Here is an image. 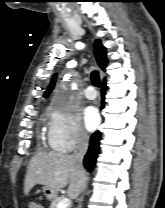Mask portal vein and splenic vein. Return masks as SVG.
I'll list each match as a JSON object with an SVG mask.
<instances>
[{"label":"portal vein and splenic vein","mask_w":165,"mask_h":208,"mask_svg":"<svg viewBox=\"0 0 165 208\" xmlns=\"http://www.w3.org/2000/svg\"><path fill=\"white\" fill-rule=\"evenodd\" d=\"M69 198H63L57 205V208H67L70 205Z\"/></svg>","instance_id":"1"}]
</instances>
